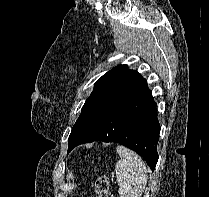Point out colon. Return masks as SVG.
I'll return each instance as SVG.
<instances>
[{
	"label": "colon",
	"instance_id": "colon-1",
	"mask_svg": "<svg viewBox=\"0 0 209 197\" xmlns=\"http://www.w3.org/2000/svg\"><path fill=\"white\" fill-rule=\"evenodd\" d=\"M96 197H113L109 181L104 177H99L95 182Z\"/></svg>",
	"mask_w": 209,
	"mask_h": 197
}]
</instances>
